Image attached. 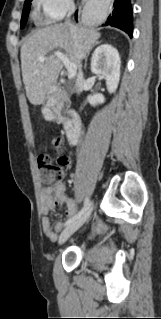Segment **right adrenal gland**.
I'll return each instance as SVG.
<instances>
[{
	"label": "right adrenal gland",
	"mask_w": 161,
	"mask_h": 319,
	"mask_svg": "<svg viewBox=\"0 0 161 319\" xmlns=\"http://www.w3.org/2000/svg\"><path fill=\"white\" fill-rule=\"evenodd\" d=\"M98 44H100V42H96V43L93 45V47L96 46V45H98ZM88 55H89V52H88ZM85 62H87V57H86ZM86 67H87V63H85V68H86Z\"/></svg>",
	"instance_id": "obj_1"
}]
</instances>
